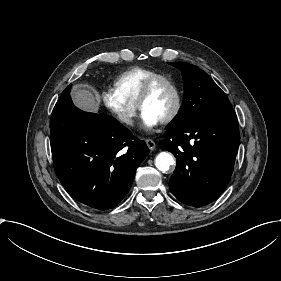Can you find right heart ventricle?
Instances as JSON below:
<instances>
[{
    "mask_svg": "<svg viewBox=\"0 0 281 281\" xmlns=\"http://www.w3.org/2000/svg\"><path fill=\"white\" fill-rule=\"evenodd\" d=\"M158 75L164 74L152 68L134 67L115 79V89L124 100L137 105L138 98L147 81Z\"/></svg>",
    "mask_w": 281,
    "mask_h": 281,
    "instance_id": "obj_1",
    "label": "right heart ventricle"
}]
</instances>
